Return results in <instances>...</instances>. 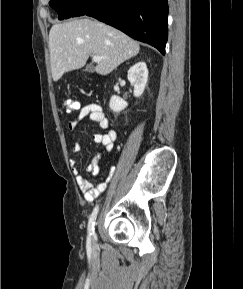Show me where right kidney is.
<instances>
[{"instance_id": "right-kidney-1", "label": "right kidney", "mask_w": 243, "mask_h": 289, "mask_svg": "<svg viewBox=\"0 0 243 289\" xmlns=\"http://www.w3.org/2000/svg\"><path fill=\"white\" fill-rule=\"evenodd\" d=\"M128 80L134 86V96L140 97L148 81V69L145 62H138L128 70ZM128 103L119 96L113 95L109 107L114 112H120L127 107Z\"/></svg>"}]
</instances>
